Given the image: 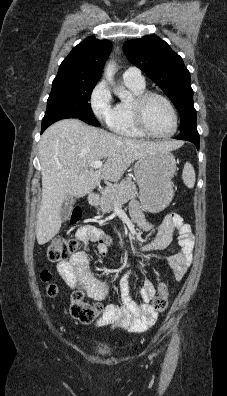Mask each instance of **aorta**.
I'll use <instances>...</instances> for the list:
<instances>
[{"mask_svg": "<svg viewBox=\"0 0 227 396\" xmlns=\"http://www.w3.org/2000/svg\"><path fill=\"white\" fill-rule=\"evenodd\" d=\"M114 74H115V63L114 61H110L105 69V78L111 84L114 89V93L121 99L125 98L128 95V92L124 89H119L115 87V82H114Z\"/></svg>", "mask_w": 227, "mask_h": 396, "instance_id": "aorta-1", "label": "aorta"}]
</instances>
